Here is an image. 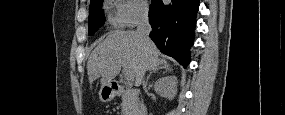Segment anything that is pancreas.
Returning a JSON list of instances; mask_svg holds the SVG:
<instances>
[{
	"instance_id": "cf45deb5",
	"label": "pancreas",
	"mask_w": 285,
	"mask_h": 115,
	"mask_svg": "<svg viewBox=\"0 0 285 115\" xmlns=\"http://www.w3.org/2000/svg\"><path fill=\"white\" fill-rule=\"evenodd\" d=\"M119 96L122 99V113L123 115H130L138 102L137 92L134 89L126 88Z\"/></svg>"
}]
</instances>
